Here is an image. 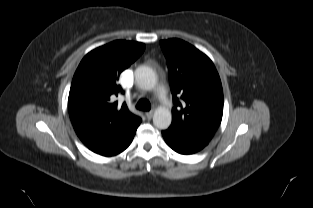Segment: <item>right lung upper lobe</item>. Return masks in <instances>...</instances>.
I'll use <instances>...</instances> for the list:
<instances>
[{"instance_id":"cb5924a9","label":"right lung upper lobe","mask_w":313,"mask_h":208,"mask_svg":"<svg viewBox=\"0 0 313 208\" xmlns=\"http://www.w3.org/2000/svg\"><path fill=\"white\" fill-rule=\"evenodd\" d=\"M139 42L117 40L89 52L80 62L70 88L69 115L76 132L119 129L129 133L141 122L126 104L112 98L123 93L117 80L144 51Z\"/></svg>"}]
</instances>
